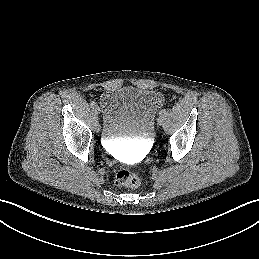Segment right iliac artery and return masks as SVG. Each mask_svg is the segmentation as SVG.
<instances>
[{"instance_id": "obj_1", "label": "right iliac artery", "mask_w": 259, "mask_h": 259, "mask_svg": "<svg viewBox=\"0 0 259 259\" xmlns=\"http://www.w3.org/2000/svg\"><path fill=\"white\" fill-rule=\"evenodd\" d=\"M90 106H91V107H95V102L92 101V102L90 103Z\"/></svg>"}]
</instances>
